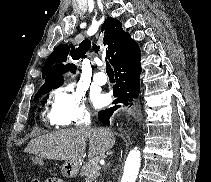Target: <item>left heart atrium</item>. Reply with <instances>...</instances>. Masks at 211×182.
I'll list each match as a JSON object with an SVG mask.
<instances>
[{"mask_svg":"<svg viewBox=\"0 0 211 182\" xmlns=\"http://www.w3.org/2000/svg\"><path fill=\"white\" fill-rule=\"evenodd\" d=\"M92 103L94 107L100 108L106 104V97L101 94L92 95Z\"/></svg>","mask_w":211,"mask_h":182,"instance_id":"39dd6f15","label":"left heart atrium"}]
</instances>
